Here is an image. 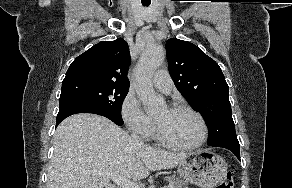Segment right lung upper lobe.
<instances>
[{"label": "right lung upper lobe", "mask_w": 292, "mask_h": 188, "mask_svg": "<svg viewBox=\"0 0 292 188\" xmlns=\"http://www.w3.org/2000/svg\"><path fill=\"white\" fill-rule=\"evenodd\" d=\"M129 65V47L124 39L102 41L71 63L64 80L90 78L129 86Z\"/></svg>", "instance_id": "right-lung-upper-lobe-1"}]
</instances>
